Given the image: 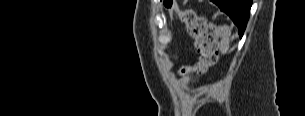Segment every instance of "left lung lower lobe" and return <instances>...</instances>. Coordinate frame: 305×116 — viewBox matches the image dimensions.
<instances>
[{"label":"left lung lower lobe","mask_w":305,"mask_h":116,"mask_svg":"<svg viewBox=\"0 0 305 116\" xmlns=\"http://www.w3.org/2000/svg\"><path fill=\"white\" fill-rule=\"evenodd\" d=\"M212 2L233 20L238 27L240 37H242L249 19L252 0H212Z\"/></svg>","instance_id":"0a47b994"}]
</instances>
